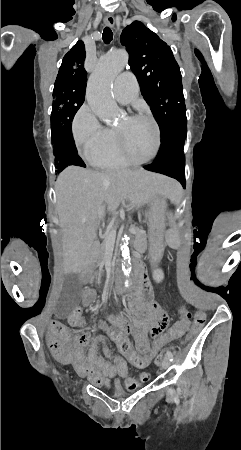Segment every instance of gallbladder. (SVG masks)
<instances>
[{
  "label": "gallbladder",
  "mask_w": 241,
  "mask_h": 450,
  "mask_svg": "<svg viewBox=\"0 0 241 450\" xmlns=\"http://www.w3.org/2000/svg\"><path fill=\"white\" fill-rule=\"evenodd\" d=\"M65 286L60 301L57 303V312L55 318L62 322L67 315H73L74 310H79L80 295L82 293V284L78 274H68L65 276Z\"/></svg>",
  "instance_id": "gallbladder-1"
}]
</instances>
